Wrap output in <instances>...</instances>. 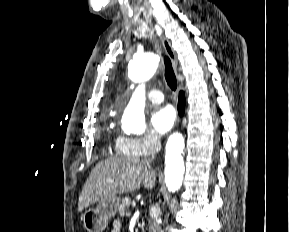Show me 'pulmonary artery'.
I'll return each mask as SVG.
<instances>
[{
    "mask_svg": "<svg viewBox=\"0 0 289 232\" xmlns=\"http://www.w3.org/2000/svg\"><path fill=\"white\" fill-rule=\"evenodd\" d=\"M147 98L153 103H161L164 100V95L159 90H150L147 93Z\"/></svg>",
    "mask_w": 289,
    "mask_h": 232,
    "instance_id": "obj_1",
    "label": "pulmonary artery"
}]
</instances>
